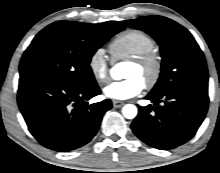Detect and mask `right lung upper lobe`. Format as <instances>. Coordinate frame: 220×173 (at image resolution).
<instances>
[{
  "label": "right lung upper lobe",
  "instance_id": "obj_1",
  "mask_svg": "<svg viewBox=\"0 0 220 173\" xmlns=\"http://www.w3.org/2000/svg\"><path fill=\"white\" fill-rule=\"evenodd\" d=\"M119 23V25L124 29L125 27L120 23V22H118Z\"/></svg>",
  "mask_w": 220,
  "mask_h": 173
}]
</instances>
